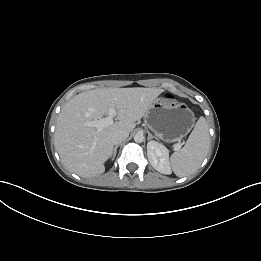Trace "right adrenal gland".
<instances>
[{"instance_id": "right-adrenal-gland-1", "label": "right adrenal gland", "mask_w": 261, "mask_h": 261, "mask_svg": "<svg viewBox=\"0 0 261 261\" xmlns=\"http://www.w3.org/2000/svg\"><path fill=\"white\" fill-rule=\"evenodd\" d=\"M120 145L118 144V145H116L115 147H114V149H113V156H112V160H114L115 159V157H116V154H117V149H118V147H119Z\"/></svg>"}]
</instances>
